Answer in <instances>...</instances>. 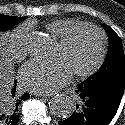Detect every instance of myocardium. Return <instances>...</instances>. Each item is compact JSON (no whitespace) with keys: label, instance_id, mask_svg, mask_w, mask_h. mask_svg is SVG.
Here are the masks:
<instances>
[{"label":"myocardium","instance_id":"f54148a6","mask_svg":"<svg viewBox=\"0 0 125 125\" xmlns=\"http://www.w3.org/2000/svg\"><path fill=\"white\" fill-rule=\"evenodd\" d=\"M84 29L92 30L99 35L100 50H99L96 60L91 66H89L88 68L84 70H78V71L73 72V74L79 78L89 77L101 68L107 55V46H108V39H107V35L105 31L99 26L92 24V23H88V22H83L81 24H78L72 27L70 30H68L65 33V35L58 40V45L63 49L66 48L68 45H70V43L73 41L75 36L81 30H84Z\"/></svg>","mask_w":125,"mask_h":125}]
</instances>
